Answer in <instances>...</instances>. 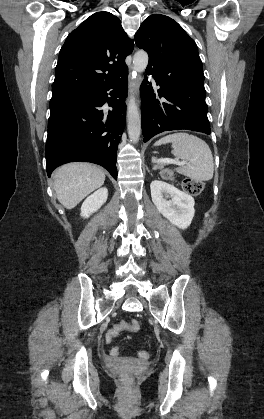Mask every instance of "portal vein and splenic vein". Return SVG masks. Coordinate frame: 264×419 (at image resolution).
<instances>
[{
    "instance_id": "portal-vein-and-splenic-vein-1",
    "label": "portal vein and splenic vein",
    "mask_w": 264,
    "mask_h": 419,
    "mask_svg": "<svg viewBox=\"0 0 264 419\" xmlns=\"http://www.w3.org/2000/svg\"><path fill=\"white\" fill-rule=\"evenodd\" d=\"M159 162H161V163H168V164H177V165H184V164H186V162H180L178 160L169 159V158L160 159Z\"/></svg>"
}]
</instances>
